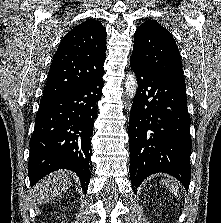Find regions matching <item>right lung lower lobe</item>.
Returning <instances> with one entry per match:
<instances>
[{"label":"right lung lower lobe","instance_id":"98d812e1","mask_svg":"<svg viewBox=\"0 0 221 223\" xmlns=\"http://www.w3.org/2000/svg\"><path fill=\"white\" fill-rule=\"evenodd\" d=\"M104 73L73 89L42 98L30 139L31 184L58 169L75 172L86 194L92 171L90 138Z\"/></svg>","mask_w":221,"mask_h":223}]
</instances>
